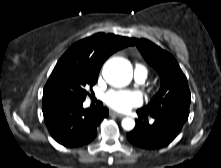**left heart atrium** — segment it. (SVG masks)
<instances>
[{
    "label": "left heart atrium",
    "instance_id": "obj_1",
    "mask_svg": "<svg viewBox=\"0 0 221 168\" xmlns=\"http://www.w3.org/2000/svg\"><path fill=\"white\" fill-rule=\"evenodd\" d=\"M105 102L112 109L127 112L142 102L141 95L135 91L111 90L105 95Z\"/></svg>",
    "mask_w": 221,
    "mask_h": 168
}]
</instances>
